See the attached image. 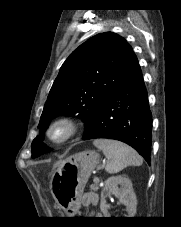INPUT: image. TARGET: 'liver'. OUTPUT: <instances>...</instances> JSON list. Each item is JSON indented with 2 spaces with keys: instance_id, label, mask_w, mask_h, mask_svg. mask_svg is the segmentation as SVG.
<instances>
[{
  "instance_id": "6515ba94",
  "label": "liver",
  "mask_w": 181,
  "mask_h": 227,
  "mask_svg": "<svg viewBox=\"0 0 181 227\" xmlns=\"http://www.w3.org/2000/svg\"><path fill=\"white\" fill-rule=\"evenodd\" d=\"M62 162H63V161H58V162H56V163L54 164V166H53V170H54L55 168H57Z\"/></svg>"
}]
</instances>
